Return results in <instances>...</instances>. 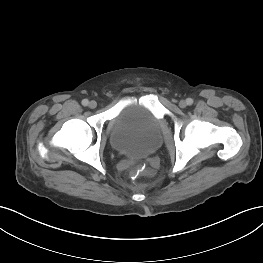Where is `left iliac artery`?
Listing matches in <instances>:
<instances>
[{
  "label": "left iliac artery",
  "mask_w": 263,
  "mask_h": 263,
  "mask_svg": "<svg viewBox=\"0 0 263 263\" xmlns=\"http://www.w3.org/2000/svg\"><path fill=\"white\" fill-rule=\"evenodd\" d=\"M186 102H187L188 105H192L193 104V99L187 98Z\"/></svg>",
  "instance_id": "left-iliac-artery-1"
}]
</instances>
